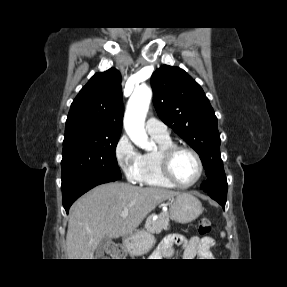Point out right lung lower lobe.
<instances>
[{"instance_id": "obj_1", "label": "right lung lower lobe", "mask_w": 287, "mask_h": 287, "mask_svg": "<svg viewBox=\"0 0 287 287\" xmlns=\"http://www.w3.org/2000/svg\"><path fill=\"white\" fill-rule=\"evenodd\" d=\"M116 180L118 179L100 175H88L75 178L67 182L65 185H62L61 189L63 196V206L66 212L68 213L70 206L78 197L83 195L91 188L99 184L112 182Z\"/></svg>"}]
</instances>
